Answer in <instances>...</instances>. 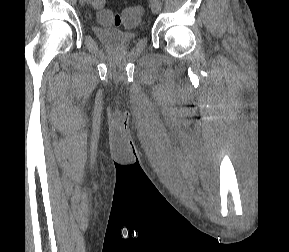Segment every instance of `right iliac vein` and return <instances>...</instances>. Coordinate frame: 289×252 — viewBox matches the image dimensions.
Here are the masks:
<instances>
[{
  "mask_svg": "<svg viewBox=\"0 0 289 252\" xmlns=\"http://www.w3.org/2000/svg\"><path fill=\"white\" fill-rule=\"evenodd\" d=\"M81 5H85L86 3H89L90 0H79Z\"/></svg>",
  "mask_w": 289,
  "mask_h": 252,
  "instance_id": "obj_1",
  "label": "right iliac vein"
}]
</instances>
